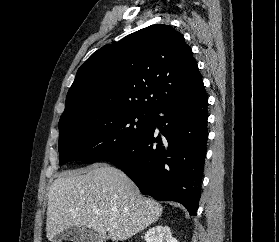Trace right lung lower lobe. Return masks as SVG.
Listing matches in <instances>:
<instances>
[{
    "mask_svg": "<svg viewBox=\"0 0 279 242\" xmlns=\"http://www.w3.org/2000/svg\"><path fill=\"white\" fill-rule=\"evenodd\" d=\"M207 106L203 87L157 109L145 135L103 160L121 169L142 194L159 201H177L190 215H196L208 140Z\"/></svg>",
    "mask_w": 279,
    "mask_h": 242,
    "instance_id": "right-lung-lower-lobe-1",
    "label": "right lung lower lobe"
}]
</instances>
